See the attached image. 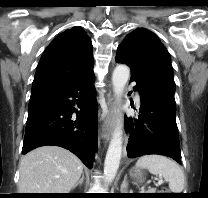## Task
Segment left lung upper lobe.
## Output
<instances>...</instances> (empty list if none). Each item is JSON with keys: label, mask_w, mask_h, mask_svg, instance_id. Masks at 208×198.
<instances>
[{"label": "left lung upper lobe", "mask_w": 208, "mask_h": 198, "mask_svg": "<svg viewBox=\"0 0 208 198\" xmlns=\"http://www.w3.org/2000/svg\"><path fill=\"white\" fill-rule=\"evenodd\" d=\"M129 63L132 73L142 83L175 105V83L167 49L150 30L140 28L127 35L118 46Z\"/></svg>", "instance_id": "5c2ea615"}]
</instances>
